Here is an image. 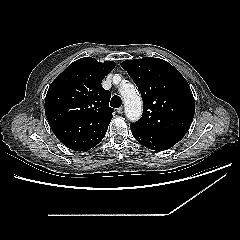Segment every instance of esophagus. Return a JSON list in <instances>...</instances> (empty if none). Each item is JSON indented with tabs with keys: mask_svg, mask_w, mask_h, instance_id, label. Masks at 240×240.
<instances>
[{
	"mask_svg": "<svg viewBox=\"0 0 240 240\" xmlns=\"http://www.w3.org/2000/svg\"><path fill=\"white\" fill-rule=\"evenodd\" d=\"M117 112H118V114H123L124 108L123 107L118 108Z\"/></svg>",
	"mask_w": 240,
	"mask_h": 240,
	"instance_id": "1",
	"label": "esophagus"
}]
</instances>
